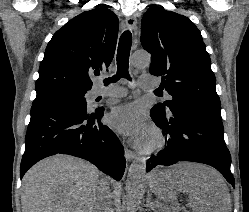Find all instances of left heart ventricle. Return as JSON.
Masks as SVG:
<instances>
[{"label": "left heart ventricle", "mask_w": 249, "mask_h": 212, "mask_svg": "<svg viewBox=\"0 0 249 212\" xmlns=\"http://www.w3.org/2000/svg\"><path fill=\"white\" fill-rule=\"evenodd\" d=\"M150 140V137H149V135H148V137H147V142Z\"/></svg>", "instance_id": "obj_1"}]
</instances>
